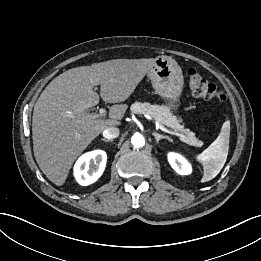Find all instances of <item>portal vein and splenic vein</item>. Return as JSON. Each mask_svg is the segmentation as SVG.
Returning a JSON list of instances; mask_svg holds the SVG:
<instances>
[{
  "label": "portal vein and splenic vein",
  "mask_w": 261,
  "mask_h": 261,
  "mask_svg": "<svg viewBox=\"0 0 261 261\" xmlns=\"http://www.w3.org/2000/svg\"><path fill=\"white\" fill-rule=\"evenodd\" d=\"M106 115V110L104 108H100L99 109V113H92V114H89V117L92 118V119H95V118H100V117H103ZM156 125L158 128H160L162 131L166 132V133H169V134H172V135H176V136H183L182 134L178 133V132H175V131H172V130H169L167 128H165L163 125L159 124L158 122H156Z\"/></svg>",
  "instance_id": "18ae733b"
}]
</instances>
